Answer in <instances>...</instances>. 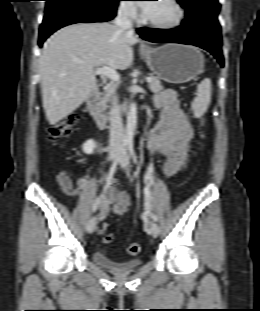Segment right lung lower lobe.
Instances as JSON below:
<instances>
[{"mask_svg": "<svg viewBox=\"0 0 260 311\" xmlns=\"http://www.w3.org/2000/svg\"><path fill=\"white\" fill-rule=\"evenodd\" d=\"M46 10L39 32V46L53 32L74 23L106 22L116 15V5L106 6L96 0H46Z\"/></svg>", "mask_w": 260, "mask_h": 311, "instance_id": "right-lung-lower-lobe-1", "label": "right lung lower lobe"}]
</instances>
